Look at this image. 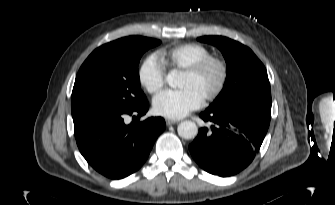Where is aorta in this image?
Returning <instances> with one entry per match:
<instances>
[{"instance_id":"762f6f07","label":"aorta","mask_w":335,"mask_h":205,"mask_svg":"<svg viewBox=\"0 0 335 205\" xmlns=\"http://www.w3.org/2000/svg\"><path fill=\"white\" fill-rule=\"evenodd\" d=\"M166 81L170 87L176 88L179 86V76L176 70H172L168 73ZM178 134L184 139H193L198 134L197 125L189 120L183 121L178 125Z\"/></svg>"}]
</instances>
